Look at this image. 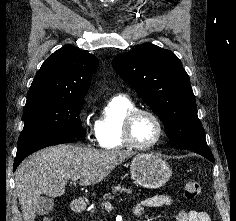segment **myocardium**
Instances as JSON below:
<instances>
[{"label":"myocardium","instance_id":"f54148a6","mask_svg":"<svg viewBox=\"0 0 236 221\" xmlns=\"http://www.w3.org/2000/svg\"><path fill=\"white\" fill-rule=\"evenodd\" d=\"M142 114L148 115L151 118H153V120L156 122L157 127H158V135H157L156 139L147 145L138 144L134 140L133 132H132L134 121L136 120V118L138 116H140ZM164 134H165V130H164V125H163L161 118L154 111H152L150 109L135 108V109L131 110L124 118L123 126H122V136H123L124 142L131 148H134L137 150L151 149L161 142Z\"/></svg>","mask_w":236,"mask_h":221}]
</instances>
